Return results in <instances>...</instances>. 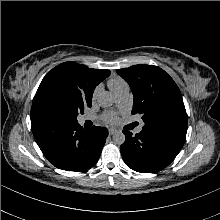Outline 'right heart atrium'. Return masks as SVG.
<instances>
[{"label":"right heart atrium","mask_w":220,"mask_h":220,"mask_svg":"<svg viewBox=\"0 0 220 220\" xmlns=\"http://www.w3.org/2000/svg\"><path fill=\"white\" fill-rule=\"evenodd\" d=\"M99 90H100L99 86H97V87L94 89V91H93V93H92V99H93V100L96 99V97H97V95H98V93H99Z\"/></svg>","instance_id":"d8ad5b80"}]
</instances>
